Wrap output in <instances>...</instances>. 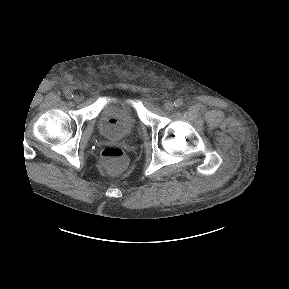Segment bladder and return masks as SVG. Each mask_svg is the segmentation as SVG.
<instances>
[{
    "label": "bladder",
    "mask_w": 289,
    "mask_h": 289,
    "mask_svg": "<svg viewBox=\"0 0 289 289\" xmlns=\"http://www.w3.org/2000/svg\"><path fill=\"white\" fill-rule=\"evenodd\" d=\"M97 127L103 137L122 140L137 131L138 118L133 106L121 99L103 106L98 115Z\"/></svg>",
    "instance_id": "obj_1"
}]
</instances>
